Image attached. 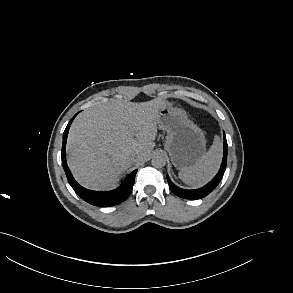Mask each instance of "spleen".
<instances>
[{
	"instance_id": "1",
	"label": "spleen",
	"mask_w": 293,
	"mask_h": 293,
	"mask_svg": "<svg viewBox=\"0 0 293 293\" xmlns=\"http://www.w3.org/2000/svg\"><path fill=\"white\" fill-rule=\"evenodd\" d=\"M222 158V142L215 136L210 149L193 166L181 170L179 178L189 186L199 187L210 181L217 173Z\"/></svg>"
}]
</instances>
